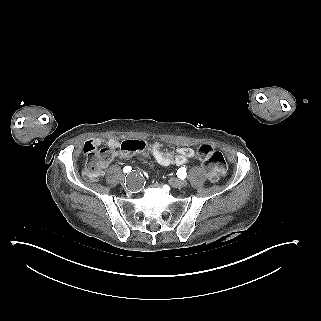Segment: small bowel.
Segmentation results:
<instances>
[{"mask_svg":"<svg viewBox=\"0 0 321 321\" xmlns=\"http://www.w3.org/2000/svg\"><path fill=\"white\" fill-rule=\"evenodd\" d=\"M104 145L105 147L101 150L104 159L102 166L98 173L92 178H99L104 174V169L109 163L115 158L127 157L129 154L121 150V144L114 138H91L84 143L83 149H96L97 146ZM149 153L151 157L161 165H177L181 166L191 162L195 157V151L191 148L178 147L174 152L163 151L160 143H154L149 146Z\"/></svg>","mask_w":321,"mask_h":321,"instance_id":"obj_1","label":"small bowel"}]
</instances>
